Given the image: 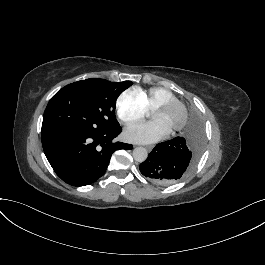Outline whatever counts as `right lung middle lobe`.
Returning <instances> with one entry per match:
<instances>
[{
	"label": "right lung middle lobe",
	"mask_w": 265,
	"mask_h": 265,
	"mask_svg": "<svg viewBox=\"0 0 265 265\" xmlns=\"http://www.w3.org/2000/svg\"><path fill=\"white\" fill-rule=\"evenodd\" d=\"M131 81L90 78L69 84L49 101L43 116L42 138L61 132H106L120 127L115 119L118 96Z\"/></svg>",
	"instance_id": "dd1d6c3e"
}]
</instances>
